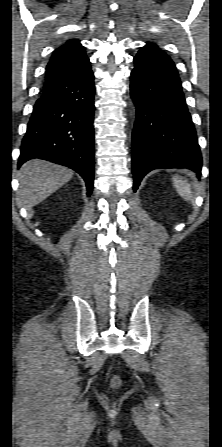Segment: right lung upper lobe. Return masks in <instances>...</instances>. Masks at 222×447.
I'll return each instance as SVG.
<instances>
[{
  "mask_svg": "<svg viewBox=\"0 0 222 447\" xmlns=\"http://www.w3.org/2000/svg\"><path fill=\"white\" fill-rule=\"evenodd\" d=\"M88 59L83 46L77 39L66 41L57 48L46 67L43 91L71 76Z\"/></svg>",
  "mask_w": 222,
  "mask_h": 447,
  "instance_id": "right-lung-upper-lobe-1",
  "label": "right lung upper lobe"
}]
</instances>
